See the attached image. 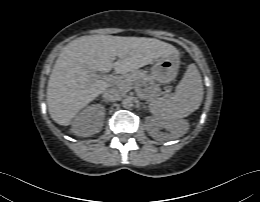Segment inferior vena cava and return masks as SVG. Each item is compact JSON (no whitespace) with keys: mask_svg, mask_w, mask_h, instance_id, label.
<instances>
[{"mask_svg":"<svg viewBox=\"0 0 260 202\" xmlns=\"http://www.w3.org/2000/svg\"><path fill=\"white\" fill-rule=\"evenodd\" d=\"M122 93L117 88L106 89L103 92V99L108 102H115L120 100Z\"/></svg>","mask_w":260,"mask_h":202,"instance_id":"inferior-vena-cava-1","label":"inferior vena cava"}]
</instances>
